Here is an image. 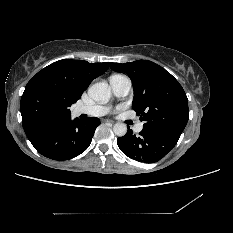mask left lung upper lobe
<instances>
[{
  "instance_id": "5c2ea615",
  "label": "left lung upper lobe",
  "mask_w": 233,
  "mask_h": 233,
  "mask_svg": "<svg viewBox=\"0 0 233 233\" xmlns=\"http://www.w3.org/2000/svg\"><path fill=\"white\" fill-rule=\"evenodd\" d=\"M109 65L132 80V108L144 122L143 128L180 137L189 118V109L186 93L179 82L164 68L148 60L124 64L110 62Z\"/></svg>"
}]
</instances>
